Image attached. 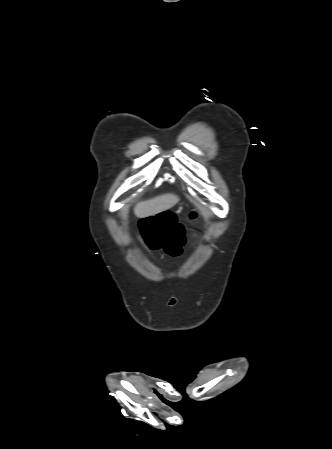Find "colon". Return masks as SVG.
I'll return each mask as SVG.
<instances>
[{
	"instance_id": "1",
	"label": "colon",
	"mask_w": 332,
	"mask_h": 449,
	"mask_svg": "<svg viewBox=\"0 0 332 449\" xmlns=\"http://www.w3.org/2000/svg\"><path fill=\"white\" fill-rule=\"evenodd\" d=\"M196 213H190L194 220ZM139 229L147 248L151 251L164 250L170 256H179L187 243L188 228L179 223L173 213L161 212L141 220Z\"/></svg>"
}]
</instances>
